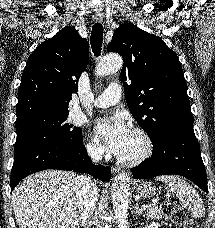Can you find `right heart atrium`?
I'll use <instances>...</instances> for the list:
<instances>
[{"label": "right heart atrium", "mask_w": 215, "mask_h": 228, "mask_svg": "<svg viewBox=\"0 0 215 228\" xmlns=\"http://www.w3.org/2000/svg\"><path fill=\"white\" fill-rule=\"evenodd\" d=\"M85 151L92 160H100L105 154V148L90 134L85 135Z\"/></svg>", "instance_id": "right-heart-atrium-1"}]
</instances>
